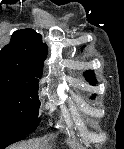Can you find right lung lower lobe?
I'll return each mask as SVG.
<instances>
[{"mask_svg": "<svg viewBox=\"0 0 124 149\" xmlns=\"http://www.w3.org/2000/svg\"><path fill=\"white\" fill-rule=\"evenodd\" d=\"M27 135L21 138H15L12 136H0V149H5L7 146L11 145L14 142L23 140Z\"/></svg>", "mask_w": 124, "mask_h": 149, "instance_id": "right-lung-lower-lobe-1", "label": "right lung lower lobe"}]
</instances>
